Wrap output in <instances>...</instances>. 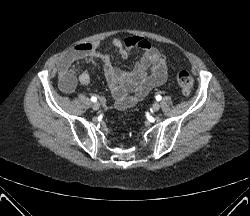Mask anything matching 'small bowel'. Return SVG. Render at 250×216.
Segmentation results:
<instances>
[{
	"label": "small bowel",
	"mask_w": 250,
	"mask_h": 216,
	"mask_svg": "<svg viewBox=\"0 0 250 216\" xmlns=\"http://www.w3.org/2000/svg\"><path fill=\"white\" fill-rule=\"evenodd\" d=\"M114 48L122 58H128L133 49L143 53L141 60L130 71L112 65L107 53L99 49L98 43H82L66 52L58 61L59 86L62 92L72 93L77 83L87 86L90 75L83 72L76 76L74 63L85 57H95L110 83L114 105L117 109H128L142 100L153 88L163 84L168 77L165 55L141 37L125 40L115 39Z\"/></svg>",
	"instance_id": "c3829d8e"
}]
</instances>
